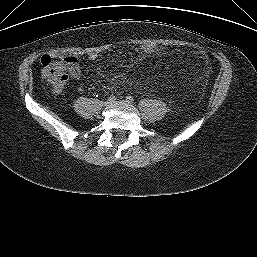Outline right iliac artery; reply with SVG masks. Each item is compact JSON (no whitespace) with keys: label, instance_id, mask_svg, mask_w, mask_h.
<instances>
[{"label":"right iliac artery","instance_id":"obj_1","mask_svg":"<svg viewBox=\"0 0 257 257\" xmlns=\"http://www.w3.org/2000/svg\"><path fill=\"white\" fill-rule=\"evenodd\" d=\"M115 100H116V97L115 96H113V95H111L110 97H108V101L109 102H115Z\"/></svg>","mask_w":257,"mask_h":257}]
</instances>
